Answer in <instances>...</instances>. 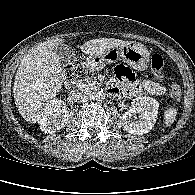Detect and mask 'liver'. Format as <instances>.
Segmentation results:
<instances>
[{
  "label": "liver",
  "mask_w": 195,
  "mask_h": 195,
  "mask_svg": "<svg viewBox=\"0 0 195 195\" xmlns=\"http://www.w3.org/2000/svg\"><path fill=\"white\" fill-rule=\"evenodd\" d=\"M63 42V39H56L37 45L21 60L17 69L14 101L21 116L30 123L40 121L46 107L61 90L64 71L55 48ZM127 43L115 38H100L85 42L80 49L90 56L103 55Z\"/></svg>",
  "instance_id": "1"
}]
</instances>
